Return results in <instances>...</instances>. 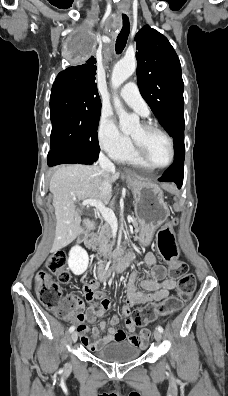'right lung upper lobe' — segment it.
<instances>
[{
    "mask_svg": "<svg viewBox=\"0 0 228 396\" xmlns=\"http://www.w3.org/2000/svg\"><path fill=\"white\" fill-rule=\"evenodd\" d=\"M95 63L96 59L91 56L81 65L68 67L57 75L53 85L68 86L82 95L99 98L95 84Z\"/></svg>",
    "mask_w": 228,
    "mask_h": 396,
    "instance_id": "cb5924a9",
    "label": "right lung upper lobe"
}]
</instances>
